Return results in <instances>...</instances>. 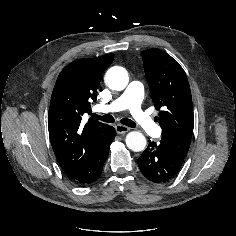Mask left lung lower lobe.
Returning <instances> with one entry per match:
<instances>
[{"instance_id":"left-lung-lower-lobe-1","label":"left lung lower lobe","mask_w":236,"mask_h":236,"mask_svg":"<svg viewBox=\"0 0 236 236\" xmlns=\"http://www.w3.org/2000/svg\"><path fill=\"white\" fill-rule=\"evenodd\" d=\"M184 158L179 157L163 145L149 141L148 147L138 159L142 174L154 183L166 182L175 176Z\"/></svg>"}]
</instances>
